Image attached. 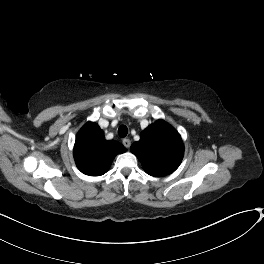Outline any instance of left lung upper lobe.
I'll return each instance as SVG.
<instances>
[{
  "mask_svg": "<svg viewBox=\"0 0 264 264\" xmlns=\"http://www.w3.org/2000/svg\"><path fill=\"white\" fill-rule=\"evenodd\" d=\"M130 150L140 160L144 171L156 177L174 172L184 155L179 133L164 120L148 126Z\"/></svg>",
  "mask_w": 264,
  "mask_h": 264,
  "instance_id": "obj_1",
  "label": "left lung upper lobe"
}]
</instances>
